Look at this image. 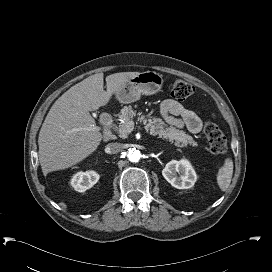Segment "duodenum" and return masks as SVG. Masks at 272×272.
Here are the masks:
<instances>
[{
    "label": "duodenum",
    "mask_w": 272,
    "mask_h": 272,
    "mask_svg": "<svg viewBox=\"0 0 272 272\" xmlns=\"http://www.w3.org/2000/svg\"><path fill=\"white\" fill-rule=\"evenodd\" d=\"M105 123H108V118H106ZM113 138V131L111 128H108L105 132H104V139L106 141H109Z\"/></svg>",
    "instance_id": "1"
}]
</instances>
